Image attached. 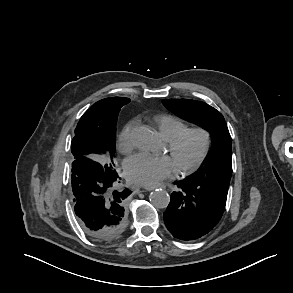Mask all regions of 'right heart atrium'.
<instances>
[{
	"instance_id": "1",
	"label": "right heart atrium",
	"mask_w": 293,
	"mask_h": 293,
	"mask_svg": "<svg viewBox=\"0 0 293 293\" xmlns=\"http://www.w3.org/2000/svg\"><path fill=\"white\" fill-rule=\"evenodd\" d=\"M137 124V120H131L122 128L121 132L119 133L117 145L118 150L121 153L127 154L133 149L132 133Z\"/></svg>"
}]
</instances>
